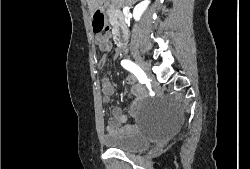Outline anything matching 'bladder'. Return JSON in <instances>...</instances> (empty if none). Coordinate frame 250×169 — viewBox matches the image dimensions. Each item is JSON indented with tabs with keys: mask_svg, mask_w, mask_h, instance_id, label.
Masks as SVG:
<instances>
[{
	"mask_svg": "<svg viewBox=\"0 0 250 169\" xmlns=\"http://www.w3.org/2000/svg\"><path fill=\"white\" fill-rule=\"evenodd\" d=\"M103 140L109 150H123L129 153L147 150L149 145L148 134L141 133H111L103 134Z\"/></svg>",
	"mask_w": 250,
	"mask_h": 169,
	"instance_id": "1",
	"label": "bladder"
}]
</instances>
